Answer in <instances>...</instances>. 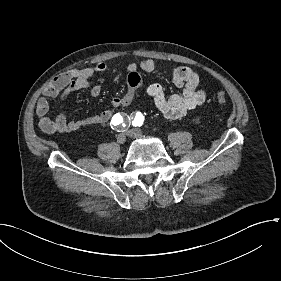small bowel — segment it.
Listing matches in <instances>:
<instances>
[{"mask_svg": "<svg viewBox=\"0 0 281 281\" xmlns=\"http://www.w3.org/2000/svg\"><path fill=\"white\" fill-rule=\"evenodd\" d=\"M139 69L147 73L153 72L156 69V63L152 59L143 60L140 64L129 63L125 94L114 97L110 107L101 113L81 119H68L64 114H59L54 118L49 117L48 99L59 98L66 103L71 93L82 89H89L92 97H98L101 94V87L98 84H91L90 81L95 74L107 71L108 66L105 62H99L94 67L75 69L60 74L48 84L44 89V96L38 100L36 113L39 127L46 133H62L108 122L120 108L128 107L132 103L136 91L141 86ZM173 82L180 89L179 93L167 96L161 86L153 84L147 88V94L165 118L179 119L202 105L206 99V93L199 88V76L191 68L184 66L176 68L173 71Z\"/></svg>", "mask_w": 281, "mask_h": 281, "instance_id": "small-bowel-1", "label": "small bowel"}]
</instances>
